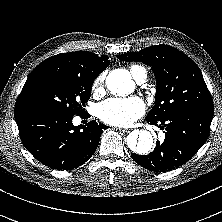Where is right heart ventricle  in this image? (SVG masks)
Wrapping results in <instances>:
<instances>
[{
    "mask_svg": "<svg viewBox=\"0 0 222 222\" xmlns=\"http://www.w3.org/2000/svg\"><path fill=\"white\" fill-rule=\"evenodd\" d=\"M130 71L136 80L143 74L147 75L146 69L139 65L130 66Z\"/></svg>",
    "mask_w": 222,
    "mask_h": 222,
    "instance_id": "right-heart-ventricle-1",
    "label": "right heart ventricle"
}]
</instances>
